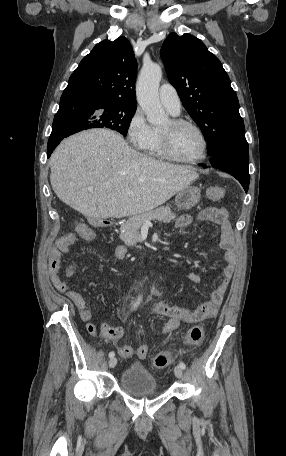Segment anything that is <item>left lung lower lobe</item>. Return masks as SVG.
I'll use <instances>...</instances> for the list:
<instances>
[{
	"label": "left lung lower lobe",
	"mask_w": 286,
	"mask_h": 456,
	"mask_svg": "<svg viewBox=\"0 0 286 456\" xmlns=\"http://www.w3.org/2000/svg\"><path fill=\"white\" fill-rule=\"evenodd\" d=\"M249 150L248 147H234L218 150L211 160V165L234 176L247 192L249 187ZM206 167L204 164H200Z\"/></svg>",
	"instance_id": "0a47b994"
}]
</instances>
